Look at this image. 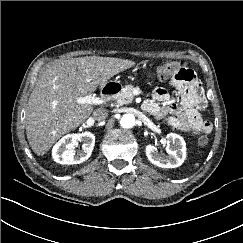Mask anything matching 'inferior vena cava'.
<instances>
[{"mask_svg":"<svg viewBox=\"0 0 243 243\" xmlns=\"http://www.w3.org/2000/svg\"><path fill=\"white\" fill-rule=\"evenodd\" d=\"M93 117L96 121H104L108 117V111L104 108H97L93 112Z\"/></svg>","mask_w":243,"mask_h":243,"instance_id":"obj_1","label":"inferior vena cava"}]
</instances>
